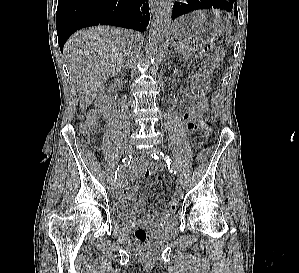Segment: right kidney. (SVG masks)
Returning a JSON list of instances; mask_svg holds the SVG:
<instances>
[{"label":"right kidney","instance_id":"right-kidney-1","mask_svg":"<svg viewBox=\"0 0 299 273\" xmlns=\"http://www.w3.org/2000/svg\"><path fill=\"white\" fill-rule=\"evenodd\" d=\"M94 104L95 108H97L100 112L105 111L111 104L109 97L104 92V86L99 88L98 96L96 97Z\"/></svg>","mask_w":299,"mask_h":273}]
</instances>
